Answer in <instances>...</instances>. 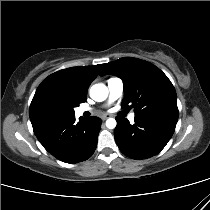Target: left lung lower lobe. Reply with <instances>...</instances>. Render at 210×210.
Wrapping results in <instances>:
<instances>
[{"label": "left lung lower lobe", "instance_id": "0a47b994", "mask_svg": "<svg viewBox=\"0 0 210 210\" xmlns=\"http://www.w3.org/2000/svg\"><path fill=\"white\" fill-rule=\"evenodd\" d=\"M115 141L123 154L132 159H146L158 154L172 137L177 121L163 118L116 117Z\"/></svg>", "mask_w": 210, "mask_h": 210}]
</instances>
